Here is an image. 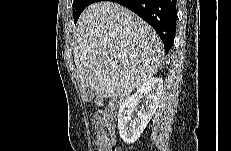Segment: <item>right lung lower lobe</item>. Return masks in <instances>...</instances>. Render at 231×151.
<instances>
[{
	"instance_id": "98d812e1",
	"label": "right lung lower lobe",
	"mask_w": 231,
	"mask_h": 151,
	"mask_svg": "<svg viewBox=\"0 0 231 151\" xmlns=\"http://www.w3.org/2000/svg\"><path fill=\"white\" fill-rule=\"evenodd\" d=\"M113 2L127 7L144 19L162 39L165 51L171 49L176 30V0H113Z\"/></svg>"
}]
</instances>
